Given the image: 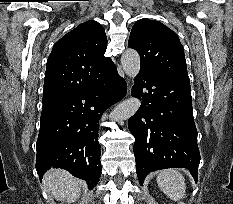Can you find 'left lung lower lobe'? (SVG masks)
I'll return each instance as SVG.
<instances>
[{"mask_svg": "<svg viewBox=\"0 0 233 204\" xmlns=\"http://www.w3.org/2000/svg\"><path fill=\"white\" fill-rule=\"evenodd\" d=\"M132 96L142 101L128 120L135 137L133 150L140 184L148 173L173 167L188 169L197 181L200 154L190 84L140 69Z\"/></svg>", "mask_w": 233, "mask_h": 204, "instance_id": "0a47b994", "label": "left lung lower lobe"}]
</instances>
